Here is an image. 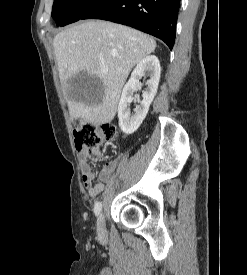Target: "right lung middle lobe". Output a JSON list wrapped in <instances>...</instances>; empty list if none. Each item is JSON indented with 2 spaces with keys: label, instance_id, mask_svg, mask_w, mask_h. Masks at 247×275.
Returning <instances> with one entry per match:
<instances>
[{
  "label": "right lung middle lobe",
  "instance_id": "dd1d6c3e",
  "mask_svg": "<svg viewBox=\"0 0 247 275\" xmlns=\"http://www.w3.org/2000/svg\"><path fill=\"white\" fill-rule=\"evenodd\" d=\"M101 0H54L52 17L58 26L76 22Z\"/></svg>",
  "mask_w": 247,
  "mask_h": 275
}]
</instances>
